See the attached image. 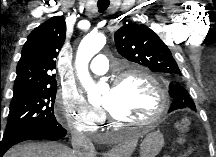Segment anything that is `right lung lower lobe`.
<instances>
[{
    "label": "right lung lower lobe",
    "instance_id": "obj_1",
    "mask_svg": "<svg viewBox=\"0 0 216 157\" xmlns=\"http://www.w3.org/2000/svg\"><path fill=\"white\" fill-rule=\"evenodd\" d=\"M67 131L60 124L52 126H41L29 129L27 131L15 134L8 138L2 139L0 145V157L13 145L26 140H58L63 138Z\"/></svg>",
    "mask_w": 216,
    "mask_h": 157
}]
</instances>
